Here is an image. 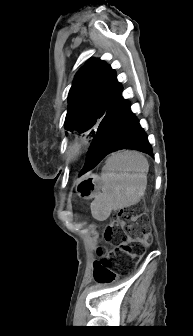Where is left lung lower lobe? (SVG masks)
I'll list each match as a JSON object with an SVG mask.
<instances>
[{"label": "left lung lower lobe", "mask_w": 193, "mask_h": 336, "mask_svg": "<svg viewBox=\"0 0 193 336\" xmlns=\"http://www.w3.org/2000/svg\"><path fill=\"white\" fill-rule=\"evenodd\" d=\"M134 149L153 157L147 135L121 96L101 120L79 175L94 168L106 155L121 149Z\"/></svg>", "instance_id": "1"}]
</instances>
